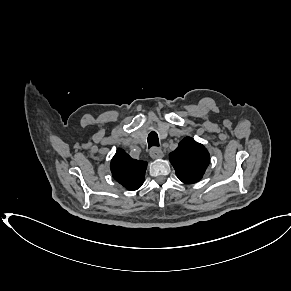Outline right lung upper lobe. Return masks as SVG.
I'll return each instance as SVG.
<instances>
[{"label": "right lung upper lobe", "mask_w": 291, "mask_h": 291, "mask_svg": "<svg viewBox=\"0 0 291 291\" xmlns=\"http://www.w3.org/2000/svg\"><path fill=\"white\" fill-rule=\"evenodd\" d=\"M113 178L128 190H137L145 178L147 162L132 159L123 149L119 148L111 160Z\"/></svg>", "instance_id": "obj_1"}]
</instances>
